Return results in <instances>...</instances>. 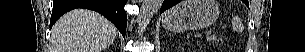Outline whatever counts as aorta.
Listing matches in <instances>:
<instances>
[{
  "mask_svg": "<svg viewBox=\"0 0 305 52\" xmlns=\"http://www.w3.org/2000/svg\"><path fill=\"white\" fill-rule=\"evenodd\" d=\"M163 0H143L140 13L137 18L139 31H143L149 24L152 17L158 12L162 6Z\"/></svg>",
  "mask_w": 305,
  "mask_h": 52,
  "instance_id": "obj_1",
  "label": "aorta"
}]
</instances>
